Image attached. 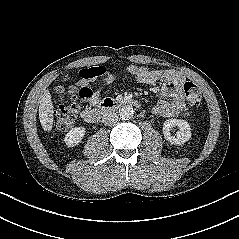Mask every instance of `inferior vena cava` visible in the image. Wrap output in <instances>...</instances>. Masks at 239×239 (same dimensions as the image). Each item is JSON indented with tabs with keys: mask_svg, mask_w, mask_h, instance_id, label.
I'll use <instances>...</instances> for the list:
<instances>
[{
	"mask_svg": "<svg viewBox=\"0 0 239 239\" xmlns=\"http://www.w3.org/2000/svg\"><path fill=\"white\" fill-rule=\"evenodd\" d=\"M118 121V115L114 112H107L102 118L104 125H113Z\"/></svg>",
	"mask_w": 239,
	"mask_h": 239,
	"instance_id": "inferior-vena-cava-1",
	"label": "inferior vena cava"
}]
</instances>
